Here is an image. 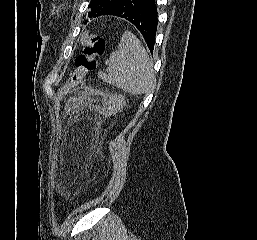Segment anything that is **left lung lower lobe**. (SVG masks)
<instances>
[{"instance_id": "0a47b994", "label": "left lung lower lobe", "mask_w": 257, "mask_h": 240, "mask_svg": "<svg viewBox=\"0 0 257 240\" xmlns=\"http://www.w3.org/2000/svg\"><path fill=\"white\" fill-rule=\"evenodd\" d=\"M102 15H113L132 23L143 35L151 53L157 30L155 0H120Z\"/></svg>"}]
</instances>
